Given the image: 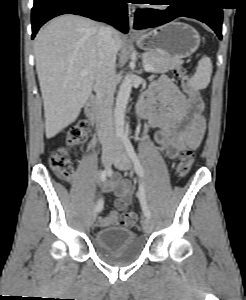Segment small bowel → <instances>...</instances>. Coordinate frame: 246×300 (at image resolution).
<instances>
[{
  "instance_id": "small-bowel-1",
  "label": "small bowel",
  "mask_w": 246,
  "mask_h": 300,
  "mask_svg": "<svg viewBox=\"0 0 246 300\" xmlns=\"http://www.w3.org/2000/svg\"><path fill=\"white\" fill-rule=\"evenodd\" d=\"M143 102L148 110L144 114L149 126L157 128L155 140L169 159L178 157L190 142L196 146L204 136L206 125L201 115L203 104L188 100L167 76H161L145 94ZM104 191L113 192L117 200V211L108 216H98V227L118 223L120 211L130 205L133 189L129 181L114 175L105 185ZM103 204V199H100Z\"/></svg>"
}]
</instances>
